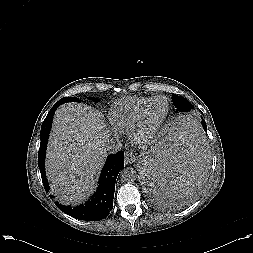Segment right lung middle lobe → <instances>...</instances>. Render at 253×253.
<instances>
[{"label":"right lung middle lobe","instance_id":"1","mask_svg":"<svg viewBox=\"0 0 253 253\" xmlns=\"http://www.w3.org/2000/svg\"><path fill=\"white\" fill-rule=\"evenodd\" d=\"M91 100H94L95 102H97L98 100L95 98H91ZM58 102H60L61 104L66 103V102H80L79 99L75 98V97H64L62 99H60Z\"/></svg>","mask_w":253,"mask_h":253}]
</instances>
